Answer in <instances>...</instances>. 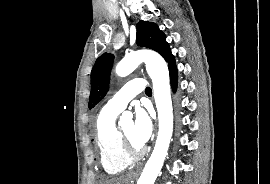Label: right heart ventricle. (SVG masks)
Instances as JSON below:
<instances>
[{"label": "right heart ventricle", "mask_w": 270, "mask_h": 184, "mask_svg": "<svg viewBox=\"0 0 270 184\" xmlns=\"http://www.w3.org/2000/svg\"><path fill=\"white\" fill-rule=\"evenodd\" d=\"M118 111L103 107L96 119V143L100 153V162L107 174L123 172L131 163L121 147L115 119Z\"/></svg>", "instance_id": "right-heart-ventricle-1"}]
</instances>
